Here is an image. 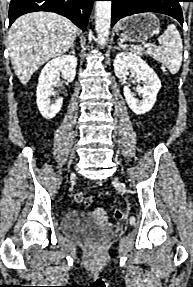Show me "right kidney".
Listing matches in <instances>:
<instances>
[{
  "instance_id": "1",
  "label": "right kidney",
  "mask_w": 193,
  "mask_h": 287,
  "mask_svg": "<svg viewBox=\"0 0 193 287\" xmlns=\"http://www.w3.org/2000/svg\"><path fill=\"white\" fill-rule=\"evenodd\" d=\"M77 58L71 55H61L49 61L41 71L37 85V106L41 115L46 119L54 118L60 111L63 98L56 99L50 104L53 86L57 76L62 72L67 82H72L76 75Z\"/></svg>"
}]
</instances>
